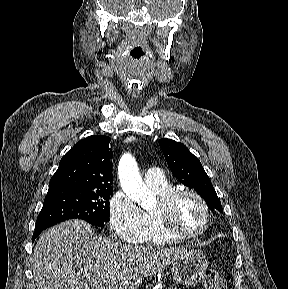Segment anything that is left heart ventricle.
<instances>
[{"label": "left heart ventricle", "mask_w": 288, "mask_h": 289, "mask_svg": "<svg viewBox=\"0 0 288 289\" xmlns=\"http://www.w3.org/2000/svg\"><path fill=\"white\" fill-rule=\"evenodd\" d=\"M173 217L176 227L185 233L199 230L204 224V212L193 197H182L175 204Z\"/></svg>", "instance_id": "b2bd125f"}]
</instances>
